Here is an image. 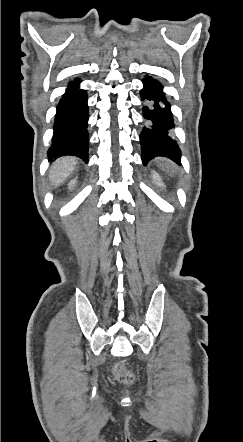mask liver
I'll return each mask as SVG.
<instances>
[{"label":"liver","instance_id":"liver-1","mask_svg":"<svg viewBox=\"0 0 243 442\" xmlns=\"http://www.w3.org/2000/svg\"><path fill=\"white\" fill-rule=\"evenodd\" d=\"M77 164V160L74 157H62L54 162L50 169V180L52 185L57 187L70 176Z\"/></svg>","mask_w":243,"mask_h":442}]
</instances>
